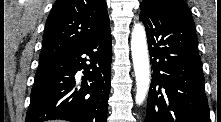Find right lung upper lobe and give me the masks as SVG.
Wrapping results in <instances>:
<instances>
[{"mask_svg": "<svg viewBox=\"0 0 221 122\" xmlns=\"http://www.w3.org/2000/svg\"><path fill=\"white\" fill-rule=\"evenodd\" d=\"M108 30L105 0H56L46 21L39 60L75 49Z\"/></svg>", "mask_w": 221, "mask_h": 122, "instance_id": "right-lung-upper-lobe-1", "label": "right lung upper lobe"}]
</instances>
